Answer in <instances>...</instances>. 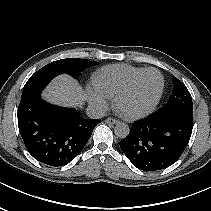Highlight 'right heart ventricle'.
I'll list each match as a JSON object with an SVG mask.
<instances>
[{
	"label": "right heart ventricle",
	"instance_id": "right-heart-ventricle-1",
	"mask_svg": "<svg viewBox=\"0 0 211 211\" xmlns=\"http://www.w3.org/2000/svg\"><path fill=\"white\" fill-rule=\"evenodd\" d=\"M143 70L145 68L125 64L105 66L94 75L93 84L113 97Z\"/></svg>",
	"mask_w": 211,
	"mask_h": 211
}]
</instances>
